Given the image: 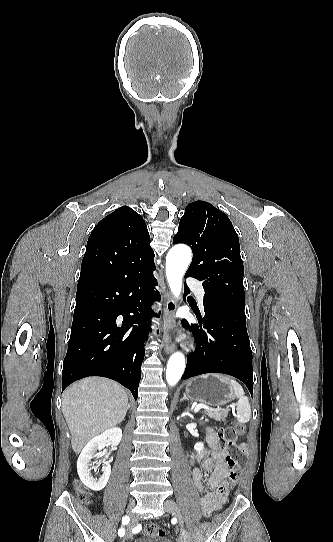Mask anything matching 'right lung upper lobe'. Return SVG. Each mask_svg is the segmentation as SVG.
<instances>
[{
    "instance_id": "right-lung-upper-lobe-1",
    "label": "right lung upper lobe",
    "mask_w": 333,
    "mask_h": 542,
    "mask_svg": "<svg viewBox=\"0 0 333 542\" xmlns=\"http://www.w3.org/2000/svg\"><path fill=\"white\" fill-rule=\"evenodd\" d=\"M126 248L152 250L150 237L144 219L133 209L123 206L102 219L93 229L88 242V250H108L119 252ZM116 272H90L81 270L79 281L92 279L113 280Z\"/></svg>"
}]
</instances>
